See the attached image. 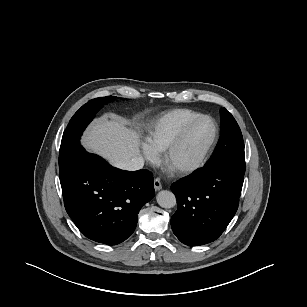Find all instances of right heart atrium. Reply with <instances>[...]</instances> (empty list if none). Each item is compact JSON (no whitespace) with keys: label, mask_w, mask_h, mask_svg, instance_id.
<instances>
[{"label":"right heart atrium","mask_w":307,"mask_h":307,"mask_svg":"<svg viewBox=\"0 0 307 307\" xmlns=\"http://www.w3.org/2000/svg\"><path fill=\"white\" fill-rule=\"evenodd\" d=\"M142 149L145 158L149 162H154L157 160L158 157L157 153L148 144H143Z\"/></svg>","instance_id":"right-heart-atrium-1"}]
</instances>
